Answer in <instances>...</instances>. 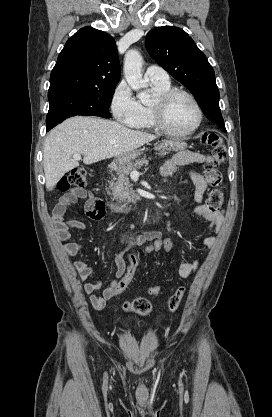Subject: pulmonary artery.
<instances>
[{"label":"pulmonary artery","mask_w":272,"mask_h":417,"mask_svg":"<svg viewBox=\"0 0 272 417\" xmlns=\"http://www.w3.org/2000/svg\"><path fill=\"white\" fill-rule=\"evenodd\" d=\"M145 77L152 83L168 84L170 82L168 73L160 66L151 65L146 69Z\"/></svg>","instance_id":"obj_1"}]
</instances>
